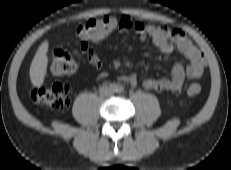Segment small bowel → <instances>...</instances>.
<instances>
[{"label": "small bowel", "instance_id": "1", "mask_svg": "<svg viewBox=\"0 0 231 170\" xmlns=\"http://www.w3.org/2000/svg\"><path fill=\"white\" fill-rule=\"evenodd\" d=\"M118 29L120 32L134 30L142 40L150 38L162 53L168 54L177 49L188 60L186 66L180 63L175 64L171 70L170 78H149L144 80L143 87L145 89L176 93L182 88L185 78L194 79L202 75L206 65L204 56L180 28L144 24L130 16H122L119 19ZM81 49L92 64L100 66L99 54L89 46L88 41L81 42ZM121 80L132 86H135L138 82L135 75L123 76Z\"/></svg>", "mask_w": 231, "mask_h": 170}]
</instances>
